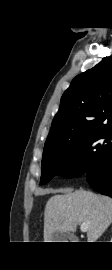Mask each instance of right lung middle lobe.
<instances>
[{
	"label": "right lung middle lobe",
	"instance_id": "1",
	"mask_svg": "<svg viewBox=\"0 0 112 270\" xmlns=\"http://www.w3.org/2000/svg\"><path fill=\"white\" fill-rule=\"evenodd\" d=\"M112 149V125L90 131L71 141L44 148L41 184L55 175L75 177L98 170Z\"/></svg>",
	"mask_w": 112,
	"mask_h": 270
}]
</instances>
